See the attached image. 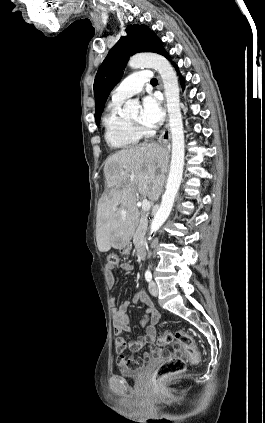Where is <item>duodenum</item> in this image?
<instances>
[{
  "label": "duodenum",
  "instance_id": "obj_1",
  "mask_svg": "<svg viewBox=\"0 0 265 423\" xmlns=\"http://www.w3.org/2000/svg\"><path fill=\"white\" fill-rule=\"evenodd\" d=\"M147 254L146 249L140 240L137 241L136 244V256L138 258H143Z\"/></svg>",
  "mask_w": 265,
  "mask_h": 423
}]
</instances>
